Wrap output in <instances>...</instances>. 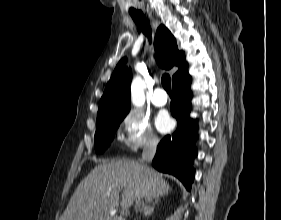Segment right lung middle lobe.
Here are the masks:
<instances>
[{
	"label": "right lung middle lobe",
	"instance_id": "1",
	"mask_svg": "<svg viewBox=\"0 0 281 220\" xmlns=\"http://www.w3.org/2000/svg\"><path fill=\"white\" fill-rule=\"evenodd\" d=\"M126 114L105 118L96 122L95 151L103 153L112 141L113 136Z\"/></svg>",
	"mask_w": 281,
	"mask_h": 220
}]
</instances>
